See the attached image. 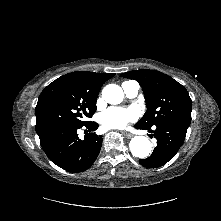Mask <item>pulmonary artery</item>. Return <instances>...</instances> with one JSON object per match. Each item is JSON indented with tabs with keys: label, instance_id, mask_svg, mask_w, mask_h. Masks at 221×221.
I'll return each instance as SVG.
<instances>
[{
	"label": "pulmonary artery",
	"instance_id": "e3ab8cb5",
	"mask_svg": "<svg viewBox=\"0 0 221 221\" xmlns=\"http://www.w3.org/2000/svg\"><path fill=\"white\" fill-rule=\"evenodd\" d=\"M124 93L129 98H134L139 92V84L135 81H127L122 83Z\"/></svg>",
	"mask_w": 221,
	"mask_h": 221
}]
</instances>
